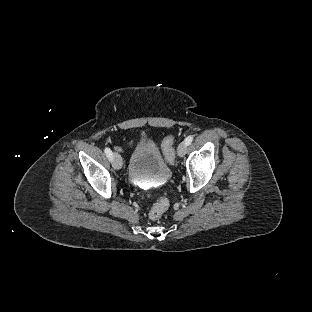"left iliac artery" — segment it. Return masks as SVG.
<instances>
[{"label": "left iliac artery", "mask_w": 312, "mask_h": 312, "mask_svg": "<svg viewBox=\"0 0 312 312\" xmlns=\"http://www.w3.org/2000/svg\"><path fill=\"white\" fill-rule=\"evenodd\" d=\"M192 141H193V136H191V135L188 136V137L185 139V142H186L187 145H190Z\"/></svg>", "instance_id": "44dca946"}]
</instances>
